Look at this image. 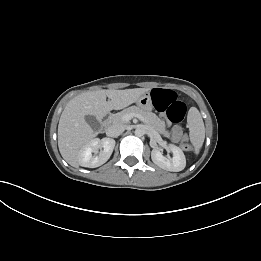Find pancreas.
Here are the masks:
<instances>
[{
	"label": "pancreas",
	"mask_w": 261,
	"mask_h": 261,
	"mask_svg": "<svg viewBox=\"0 0 261 261\" xmlns=\"http://www.w3.org/2000/svg\"><path fill=\"white\" fill-rule=\"evenodd\" d=\"M126 114H136L143 118L144 122L152 129L163 134L164 136H169L168 131H166V125L163 120H161L156 114L150 111H144L137 106H131L124 109L123 111L112 114L109 117L110 123H126L128 121L123 120V116Z\"/></svg>",
	"instance_id": "cf45deb5"
}]
</instances>
